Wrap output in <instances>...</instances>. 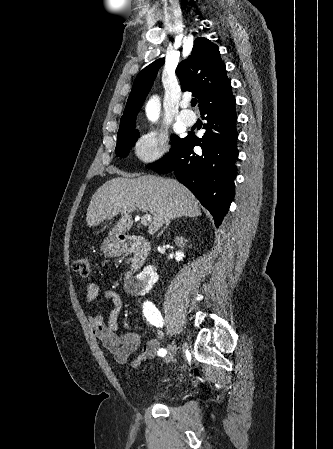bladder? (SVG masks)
I'll return each mask as SVG.
<instances>
[{"label": "bladder", "mask_w": 333, "mask_h": 449, "mask_svg": "<svg viewBox=\"0 0 333 449\" xmlns=\"http://www.w3.org/2000/svg\"><path fill=\"white\" fill-rule=\"evenodd\" d=\"M170 392L169 390L158 391L150 396L151 401H160L168 398Z\"/></svg>", "instance_id": "bladder-1"}]
</instances>
